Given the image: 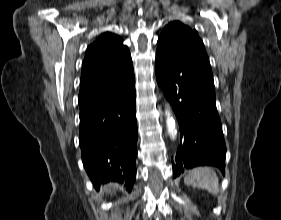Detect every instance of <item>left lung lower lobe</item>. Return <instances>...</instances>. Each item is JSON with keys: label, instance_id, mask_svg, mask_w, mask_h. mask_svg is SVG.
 I'll use <instances>...</instances> for the list:
<instances>
[{"label": "left lung lower lobe", "instance_id": "0a47b994", "mask_svg": "<svg viewBox=\"0 0 281 220\" xmlns=\"http://www.w3.org/2000/svg\"><path fill=\"white\" fill-rule=\"evenodd\" d=\"M155 73L181 132V143L172 159L174 177L200 165L216 166L224 174L226 145L213 75L177 56H156Z\"/></svg>", "mask_w": 281, "mask_h": 220}]
</instances>
